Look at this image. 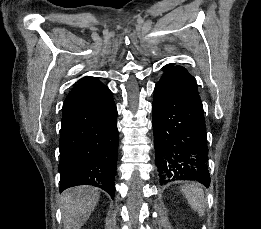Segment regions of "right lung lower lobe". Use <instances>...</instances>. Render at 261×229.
Instances as JSON below:
<instances>
[{
	"instance_id": "obj_1",
	"label": "right lung lower lobe",
	"mask_w": 261,
	"mask_h": 229,
	"mask_svg": "<svg viewBox=\"0 0 261 229\" xmlns=\"http://www.w3.org/2000/svg\"><path fill=\"white\" fill-rule=\"evenodd\" d=\"M60 191L91 185L115 196L117 109L112 92L91 78L69 92L60 131Z\"/></svg>"
}]
</instances>
